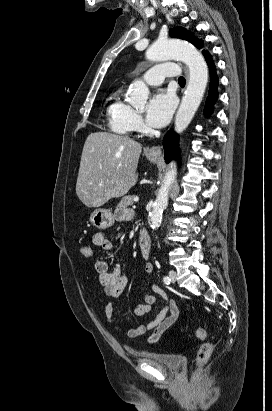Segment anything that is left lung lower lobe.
I'll use <instances>...</instances> for the list:
<instances>
[{
  "label": "left lung lower lobe",
  "instance_id": "obj_1",
  "mask_svg": "<svg viewBox=\"0 0 272 411\" xmlns=\"http://www.w3.org/2000/svg\"><path fill=\"white\" fill-rule=\"evenodd\" d=\"M204 55H205L206 61L210 69L209 96L207 98L205 109H204L205 115L209 116L212 113V107L218 97V93H217L218 78L216 76L215 65L212 61L210 54L206 52ZM177 144H178V136L174 133L173 130L169 131L163 139V146L165 149V160L167 163L177 156L178 154Z\"/></svg>",
  "mask_w": 272,
  "mask_h": 411
}]
</instances>
